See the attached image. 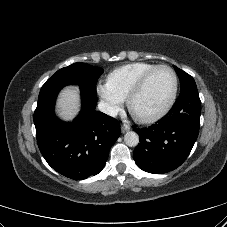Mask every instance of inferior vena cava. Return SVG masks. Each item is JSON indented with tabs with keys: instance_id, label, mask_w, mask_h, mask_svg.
Listing matches in <instances>:
<instances>
[{
	"instance_id": "obj_1",
	"label": "inferior vena cava",
	"mask_w": 227,
	"mask_h": 227,
	"mask_svg": "<svg viewBox=\"0 0 227 227\" xmlns=\"http://www.w3.org/2000/svg\"><path fill=\"white\" fill-rule=\"evenodd\" d=\"M98 109L111 116V117H115L117 115V110L115 107H113L112 105H110L109 103L105 102V101H100L98 103Z\"/></svg>"
}]
</instances>
